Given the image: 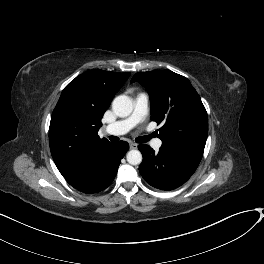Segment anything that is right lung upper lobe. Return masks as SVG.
Wrapping results in <instances>:
<instances>
[{
	"label": "right lung upper lobe",
	"instance_id": "cb5924a9",
	"mask_svg": "<svg viewBox=\"0 0 264 264\" xmlns=\"http://www.w3.org/2000/svg\"><path fill=\"white\" fill-rule=\"evenodd\" d=\"M129 76V72L95 69L79 75L62 91L51 116L49 145L64 177L85 167L111 143L97 133L104 112Z\"/></svg>",
	"mask_w": 264,
	"mask_h": 264
}]
</instances>
